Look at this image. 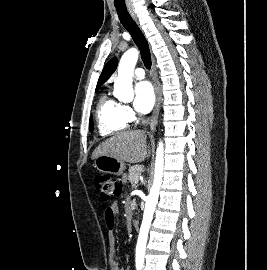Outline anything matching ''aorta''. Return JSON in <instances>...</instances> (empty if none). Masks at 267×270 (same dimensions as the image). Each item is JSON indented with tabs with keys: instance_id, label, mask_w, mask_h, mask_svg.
Returning <instances> with one entry per match:
<instances>
[{
	"instance_id": "1",
	"label": "aorta",
	"mask_w": 267,
	"mask_h": 270,
	"mask_svg": "<svg viewBox=\"0 0 267 270\" xmlns=\"http://www.w3.org/2000/svg\"><path fill=\"white\" fill-rule=\"evenodd\" d=\"M139 52L135 48L126 51L118 66V76L114 83L113 94L120 101H130L134 97L132 79L134 68L138 60ZM164 168V144L159 142L156 151L155 171L153 185L149 195L146 198L143 220L140 227L139 237L136 246V262L144 261L145 249L149 228L152 222L153 214L158 203L159 191L162 184Z\"/></svg>"
}]
</instances>
